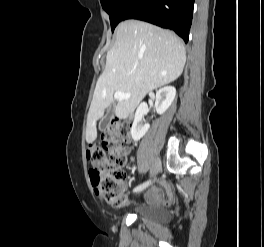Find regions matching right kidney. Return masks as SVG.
I'll list each match as a JSON object with an SVG mask.
<instances>
[{
    "instance_id": "ca27d5eb",
    "label": "right kidney",
    "mask_w": 264,
    "mask_h": 247,
    "mask_svg": "<svg viewBox=\"0 0 264 247\" xmlns=\"http://www.w3.org/2000/svg\"><path fill=\"white\" fill-rule=\"evenodd\" d=\"M176 96V89L172 86H166L159 89L156 93L155 109L156 112L161 115L163 114L173 103ZM148 109L146 103H142L136 110L134 122L131 127V136L134 141L140 140L148 131L150 125L142 123L144 114Z\"/></svg>"
}]
</instances>
